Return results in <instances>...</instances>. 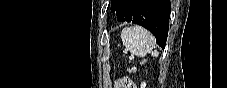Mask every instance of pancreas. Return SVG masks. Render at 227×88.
Here are the masks:
<instances>
[{
    "instance_id": "cf45deb5",
    "label": "pancreas",
    "mask_w": 227,
    "mask_h": 88,
    "mask_svg": "<svg viewBox=\"0 0 227 88\" xmlns=\"http://www.w3.org/2000/svg\"><path fill=\"white\" fill-rule=\"evenodd\" d=\"M129 71H132V72H134L135 71V68H132L131 70H129Z\"/></svg>"
}]
</instances>
